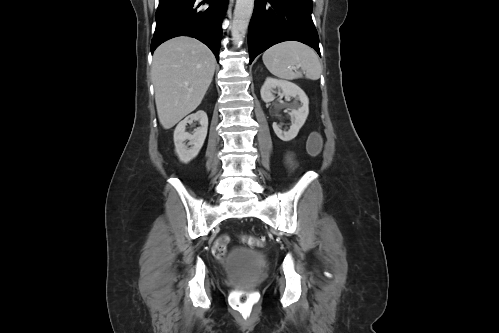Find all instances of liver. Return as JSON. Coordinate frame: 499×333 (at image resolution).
Here are the masks:
<instances>
[{
    "instance_id": "liver-1",
    "label": "liver",
    "mask_w": 499,
    "mask_h": 333,
    "mask_svg": "<svg viewBox=\"0 0 499 333\" xmlns=\"http://www.w3.org/2000/svg\"><path fill=\"white\" fill-rule=\"evenodd\" d=\"M211 50L195 38L180 36L161 44L151 69L159 121L175 126L201 103L215 71Z\"/></svg>"
}]
</instances>
